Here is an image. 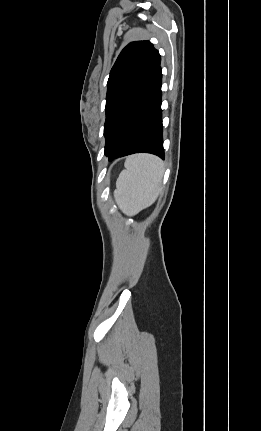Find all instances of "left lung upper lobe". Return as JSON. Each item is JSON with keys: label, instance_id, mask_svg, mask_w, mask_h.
I'll return each mask as SVG.
<instances>
[{"label": "left lung upper lobe", "instance_id": "left-lung-upper-lobe-1", "mask_svg": "<svg viewBox=\"0 0 261 431\" xmlns=\"http://www.w3.org/2000/svg\"><path fill=\"white\" fill-rule=\"evenodd\" d=\"M160 62L159 52L149 41L132 42L118 56L107 83L104 124L107 156L129 104Z\"/></svg>", "mask_w": 261, "mask_h": 431}]
</instances>
